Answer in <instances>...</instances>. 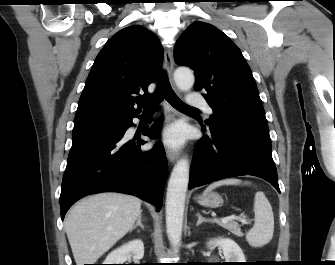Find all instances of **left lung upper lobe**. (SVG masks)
<instances>
[{
  "instance_id": "left-lung-upper-lobe-1",
  "label": "left lung upper lobe",
  "mask_w": 335,
  "mask_h": 265,
  "mask_svg": "<svg viewBox=\"0 0 335 265\" xmlns=\"http://www.w3.org/2000/svg\"><path fill=\"white\" fill-rule=\"evenodd\" d=\"M174 58L194 70V89L206 91L203 96L213 110L206 122L210 128L223 124L270 138L252 71L227 35L211 24L194 22L177 40Z\"/></svg>"
}]
</instances>
